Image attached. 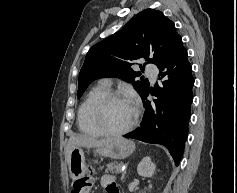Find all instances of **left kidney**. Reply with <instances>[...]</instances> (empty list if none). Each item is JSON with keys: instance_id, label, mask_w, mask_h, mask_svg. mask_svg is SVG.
<instances>
[{"instance_id": "5707ae66", "label": "left kidney", "mask_w": 237, "mask_h": 193, "mask_svg": "<svg viewBox=\"0 0 237 193\" xmlns=\"http://www.w3.org/2000/svg\"><path fill=\"white\" fill-rule=\"evenodd\" d=\"M156 169V165L151 161L150 157H144L137 166V172L143 177H152Z\"/></svg>"}]
</instances>
